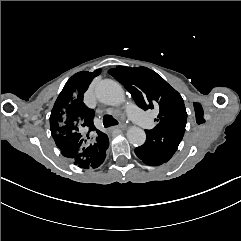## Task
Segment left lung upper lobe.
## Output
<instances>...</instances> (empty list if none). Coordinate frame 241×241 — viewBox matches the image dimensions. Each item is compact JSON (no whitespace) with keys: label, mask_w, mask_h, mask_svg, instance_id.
Segmentation results:
<instances>
[{"label":"left lung upper lobe","mask_w":241,"mask_h":241,"mask_svg":"<svg viewBox=\"0 0 241 241\" xmlns=\"http://www.w3.org/2000/svg\"><path fill=\"white\" fill-rule=\"evenodd\" d=\"M108 72L130 92L140 108L159 107L158 124L154 129L186 124L187 113L181 95L156 72L146 67L126 66H117Z\"/></svg>","instance_id":"1"}]
</instances>
